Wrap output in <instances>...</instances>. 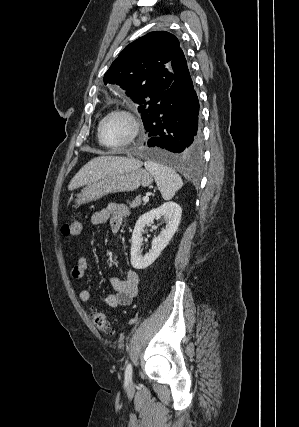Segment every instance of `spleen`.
Listing matches in <instances>:
<instances>
[{"label":"spleen","instance_id":"1","mask_svg":"<svg viewBox=\"0 0 299 427\" xmlns=\"http://www.w3.org/2000/svg\"><path fill=\"white\" fill-rule=\"evenodd\" d=\"M155 179L158 189L164 200H170L183 186L182 178L175 170L155 161L148 160L144 163Z\"/></svg>","mask_w":299,"mask_h":427}]
</instances>
